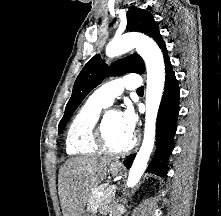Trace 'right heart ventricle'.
I'll return each instance as SVG.
<instances>
[{
    "instance_id": "obj_1",
    "label": "right heart ventricle",
    "mask_w": 221,
    "mask_h": 216,
    "mask_svg": "<svg viewBox=\"0 0 221 216\" xmlns=\"http://www.w3.org/2000/svg\"><path fill=\"white\" fill-rule=\"evenodd\" d=\"M104 103L91 97L79 109L72 119L66 134V151L70 155H90L100 148L96 142V127Z\"/></svg>"
}]
</instances>
